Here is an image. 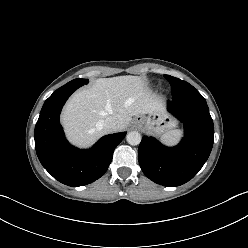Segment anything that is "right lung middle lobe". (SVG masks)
<instances>
[{
	"label": "right lung middle lobe",
	"mask_w": 248,
	"mask_h": 248,
	"mask_svg": "<svg viewBox=\"0 0 248 248\" xmlns=\"http://www.w3.org/2000/svg\"><path fill=\"white\" fill-rule=\"evenodd\" d=\"M87 83H88L87 79H74V80L68 82L66 85L80 84L82 86V85L87 84Z\"/></svg>",
	"instance_id": "dd1d6c3e"
}]
</instances>
